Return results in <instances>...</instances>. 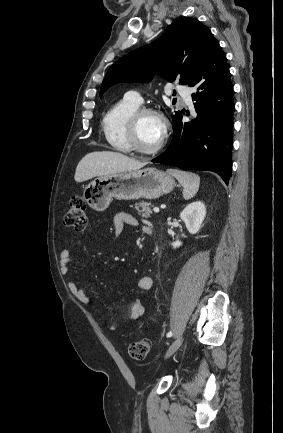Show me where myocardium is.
Segmentation results:
<instances>
[{"instance_id":"1","label":"myocardium","mask_w":283,"mask_h":433,"mask_svg":"<svg viewBox=\"0 0 283 433\" xmlns=\"http://www.w3.org/2000/svg\"><path fill=\"white\" fill-rule=\"evenodd\" d=\"M147 114H152L157 116L163 123V131H162L160 141L158 143L157 148L153 151H148L143 149L138 140L139 123L141 119ZM168 128H169V122L167 118L159 110L153 107L138 108L130 115L126 126V139L131 151L135 152L141 157H156L162 154L166 148L165 142L167 138Z\"/></svg>"}]
</instances>
